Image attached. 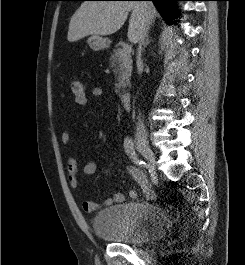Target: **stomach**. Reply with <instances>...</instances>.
<instances>
[{"mask_svg":"<svg viewBox=\"0 0 245 265\" xmlns=\"http://www.w3.org/2000/svg\"><path fill=\"white\" fill-rule=\"evenodd\" d=\"M88 45L93 51H101L107 49L110 45V40L102 37L92 36L88 39Z\"/></svg>","mask_w":245,"mask_h":265,"instance_id":"0dacf381","label":"stomach"}]
</instances>
